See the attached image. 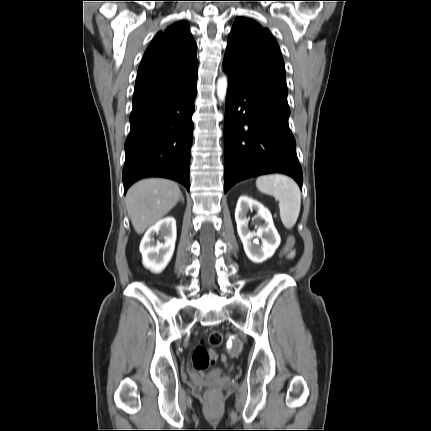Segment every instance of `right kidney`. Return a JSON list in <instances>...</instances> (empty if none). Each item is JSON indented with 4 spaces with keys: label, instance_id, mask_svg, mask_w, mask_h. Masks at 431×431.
<instances>
[{
    "label": "right kidney",
    "instance_id": "obj_1",
    "mask_svg": "<svg viewBox=\"0 0 431 431\" xmlns=\"http://www.w3.org/2000/svg\"><path fill=\"white\" fill-rule=\"evenodd\" d=\"M159 234L163 242L155 243L154 237ZM176 236V221L173 217H166L150 227L140 243L144 266L155 273L164 270L172 258Z\"/></svg>",
    "mask_w": 431,
    "mask_h": 431
}]
</instances>
